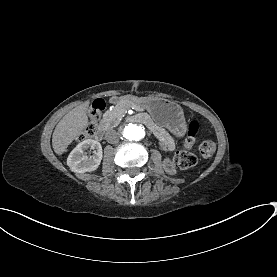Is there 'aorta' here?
<instances>
[{"label":"aorta","instance_id":"obj_1","mask_svg":"<svg viewBox=\"0 0 277 277\" xmlns=\"http://www.w3.org/2000/svg\"><path fill=\"white\" fill-rule=\"evenodd\" d=\"M120 136L129 141H139L145 137V128L140 124L126 123L120 129Z\"/></svg>","mask_w":277,"mask_h":277}]
</instances>
